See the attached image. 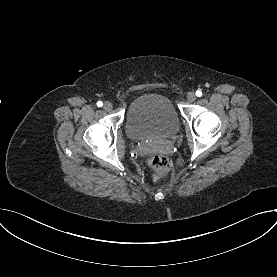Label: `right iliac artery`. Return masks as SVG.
<instances>
[{
	"instance_id": "obj_1",
	"label": "right iliac artery",
	"mask_w": 277,
	"mask_h": 277,
	"mask_svg": "<svg viewBox=\"0 0 277 277\" xmlns=\"http://www.w3.org/2000/svg\"><path fill=\"white\" fill-rule=\"evenodd\" d=\"M102 105H103V103H102L101 101H98V102H97V106H98V107H101Z\"/></svg>"
}]
</instances>
